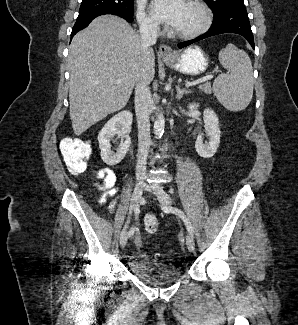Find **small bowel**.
Masks as SVG:
<instances>
[{
    "label": "small bowel",
    "mask_w": 298,
    "mask_h": 325,
    "mask_svg": "<svg viewBox=\"0 0 298 325\" xmlns=\"http://www.w3.org/2000/svg\"><path fill=\"white\" fill-rule=\"evenodd\" d=\"M98 182L95 186L103 192L100 198V203L104 204L109 197H114L118 192L117 178L115 172L110 168H102L96 172ZM116 206V200H113L110 204V210L112 211Z\"/></svg>",
    "instance_id": "c3829d8e"
}]
</instances>
